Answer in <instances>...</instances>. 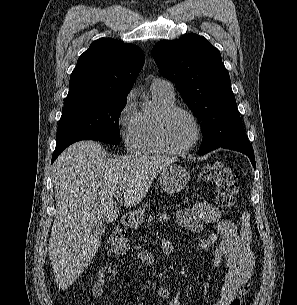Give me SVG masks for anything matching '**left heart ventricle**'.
<instances>
[{
  "label": "left heart ventricle",
  "mask_w": 297,
  "mask_h": 305,
  "mask_svg": "<svg viewBox=\"0 0 297 305\" xmlns=\"http://www.w3.org/2000/svg\"><path fill=\"white\" fill-rule=\"evenodd\" d=\"M165 136L171 146L184 147L195 136L194 124L185 114L176 113L165 124Z\"/></svg>",
  "instance_id": "1"
}]
</instances>
